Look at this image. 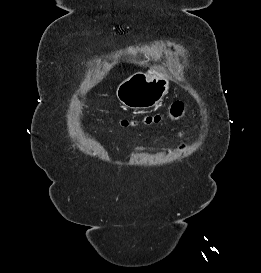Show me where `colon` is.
<instances>
[{
    "mask_svg": "<svg viewBox=\"0 0 261 273\" xmlns=\"http://www.w3.org/2000/svg\"><path fill=\"white\" fill-rule=\"evenodd\" d=\"M185 110V105L183 102L177 101L174 102L168 109V115L174 119H177L179 117H181L184 113ZM162 116L160 114H152V115H148L144 118V122L146 124H156L158 122L161 121ZM131 121L129 120H124L123 124L125 126L130 125Z\"/></svg>",
    "mask_w": 261,
    "mask_h": 273,
    "instance_id": "colon-1",
    "label": "colon"
}]
</instances>
